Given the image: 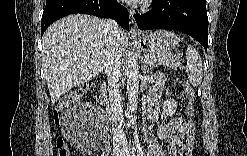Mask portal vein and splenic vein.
I'll return each instance as SVG.
<instances>
[{"label":"portal vein and splenic vein","instance_id":"obj_1","mask_svg":"<svg viewBox=\"0 0 247 156\" xmlns=\"http://www.w3.org/2000/svg\"><path fill=\"white\" fill-rule=\"evenodd\" d=\"M145 62H148V58H145ZM179 63H176V66H178Z\"/></svg>","mask_w":247,"mask_h":156}]
</instances>
